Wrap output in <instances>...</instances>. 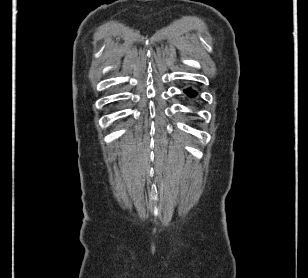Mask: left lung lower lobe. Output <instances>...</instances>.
I'll return each mask as SVG.
<instances>
[{
  "label": "left lung lower lobe",
  "mask_w": 308,
  "mask_h": 278,
  "mask_svg": "<svg viewBox=\"0 0 308 278\" xmlns=\"http://www.w3.org/2000/svg\"><path fill=\"white\" fill-rule=\"evenodd\" d=\"M186 93L188 94V95H190V96H193V95H195L196 94V92H194L192 89H187L186 90Z\"/></svg>",
  "instance_id": "1"
}]
</instances>
